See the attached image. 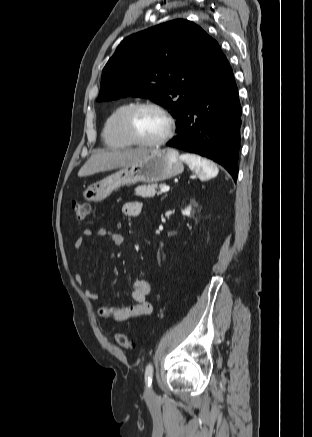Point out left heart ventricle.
<instances>
[{
    "label": "left heart ventricle",
    "mask_w": 312,
    "mask_h": 437,
    "mask_svg": "<svg viewBox=\"0 0 312 437\" xmlns=\"http://www.w3.org/2000/svg\"><path fill=\"white\" fill-rule=\"evenodd\" d=\"M166 129L165 118L152 109L141 110L134 119V130L143 140H156L164 135Z\"/></svg>",
    "instance_id": "left-heart-ventricle-1"
}]
</instances>
